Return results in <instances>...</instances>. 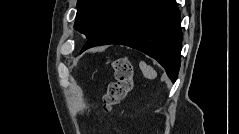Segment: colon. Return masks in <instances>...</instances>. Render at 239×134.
Here are the masks:
<instances>
[{"label": "colon", "instance_id": "obj_1", "mask_svg": "<svg viewBox=\"0 0 239 134\" xmlns=\"http://www.w3.org/2000/svg\"><path fill=\"white\" fill-rule=\"evenodd\" d=\"M114 80L108 85L103 103L105 111H110L131 91L133 85V66L126 58H115L111 62Z\"/></svg>", "mask_w": 239, "mask_h": 134}]
</instances>
